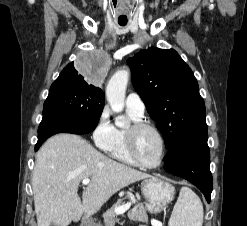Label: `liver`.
Wrapping results in <instances>:
<instances>
[{
    "label": "liver",
    "mask_w": 247,
    "mask_h": 226,
    "mask_svg": "<svg viewBox=\"0 0 247 226\" xmlns=\"http://www.w3.org/2000/svg\"><path fill=\"white\" fill-rule=\"evenodd\" d=\"M150 177L106 157L78 135H55L36 154L32 189L37 224L68 226L83 214L94 215L120 189ZM90 178L81 201L79 184Z\"/></svg>",
    "instance_id": "1"
}]
</instances>
